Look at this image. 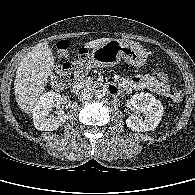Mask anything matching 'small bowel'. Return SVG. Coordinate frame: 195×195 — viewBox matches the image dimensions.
<instances>
[{
	"label": "small bowel",
	"instance_id": "c3829d8e",
	"mask_svg": "<svg viewBox=\"0 0 195 195\" xmlns=\"http://www.w3.org/2000/svg\"><path fill=\"white\" fill-rule=\"evenodd\" d=\"M148 89L160 96H168L170 87L167 81H160L152 75L134 76L130 80L124 81L120 86L122 93H129L132 90Z\"/></svg>",
	"mask_w": 195,
	"mask_h": 195
}]
</instances>
